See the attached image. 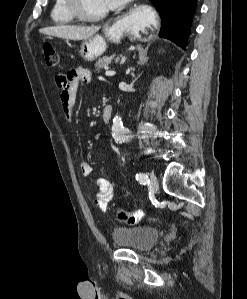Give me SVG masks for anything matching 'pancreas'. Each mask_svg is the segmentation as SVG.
<instances>
[{"label":"pancreas","mask_w":247,"mask_h":299,"mask_svg":"<svg viewBox=\"0 0 247 299\" xmlns=\"http://www.w3.org/2000/svg\"><path fill=\"white\" fill-rule=\"evenodd\" d=\"M120 59V57L116 58V61H118ZM113 60V57L110 56H104L100 59L97 60V62L95 63V67H96V71L100 72L101 69L107 67Z\"/></svg>","instance_id":"pancreas-1"}]
</instances>
